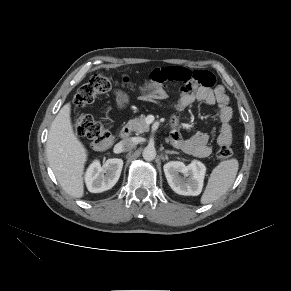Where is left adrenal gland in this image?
<instances>
[{"instance_id": "left-adrenal-gland-1", "label": "left adrenal gland", "mask_w": 291, "mask_h": 291, "mask_svg": "<svg viewBox=\"0 0 291 291\" xmlns=\"http://www.w3.org/2000/svg\"><path fill=\"white\" fill-rule=\"evenodd\" d=\"M165 153L166 154H177L176 151H170V150H165Z\"/></svg>"}]
</instances>
